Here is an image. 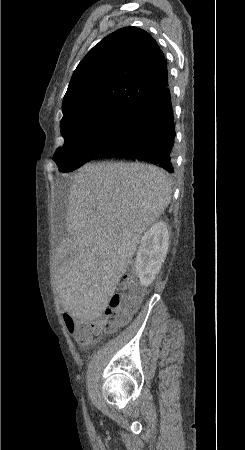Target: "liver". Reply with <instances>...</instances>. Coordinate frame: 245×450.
Returning <instances> with one entry per match:
<instances>
[{
  "label": "liver",
  "mask_w": 245,
  "mask_h": 450,
  "mask_svg": "<svg viewBox=\"0 0 245 450\" xmlns=\"http://www.w3.org/2000/svg\"><path fill=\"white\" fill-rule=\"evenodd\" d=\"M168 177L143 163L99 162L75 175L67 205L69 238L56 249V288L74 317L100 315L132 261L142 234L171 200Z\"/></svg>",
  "instance_id": "6515ba94"
}]
</instances>
